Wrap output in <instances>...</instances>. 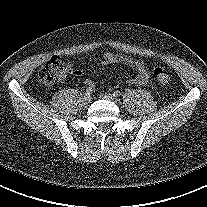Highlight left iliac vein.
Wrapping results in <instances>:
<instances>
[{
	"label": "left iliac vein",
	"instance_id": "left-iliac-vein-1",
	"mask_svg": "<svg viewBox=\"0 0 207 207\" xmlns=\"http://www.w3.org/2000/svg\"><path fill=\"white\" fill-rule=\"evenodd\" d=\"M103 99L112 101V102H118V98L114 94L106 93L101 96Z\"/></svg>",
	"mask_w": 207,
	"mask_h": 207
}]
</instances>
